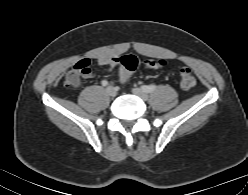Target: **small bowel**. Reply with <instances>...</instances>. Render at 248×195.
<instances>
[{
  "mask_svg": "<svg viewBox=\"0 0 248 195\" xmlns=\"http://www.w3.org/2000/svg\"><path fill=\"white\" fill-rule=\"evenodd\" d=\"M121 57H99L96 59V63L99 66H104L107 68H118V74H119V81L121 83H126L128 81V76L125 73V70L123 69L121 63H120ZM95 75L94 70L92 69V66L90 65L88 68V72L84 74V77L91 78Z\"/></svg>",
  "mask_w": 248,
  "mask_h": 195,
  "instance_id": "obj_1",
  "label": "small bowel"
}]
</instances>
